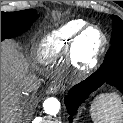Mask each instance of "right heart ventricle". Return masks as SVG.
<instances>
[{
	"instance_id": "right-heart-ventricle-1",
	"label": "right heart ventricle",
	"mask_w": 123,
	"mask_h": 123,
	"mask_svg": "<svg viewBox=\"0 0 123 123\" xmlns=\"http://www.w3.org/2000/svg\"><path fill=\"white\" fill-rule=\"evenodd\" d=\"M79 21L70 22L47 34L39 44L38 57L41 61L49 63L66 52L68 57L74 59V43L82 30L77 31Z\"/></svg>"
}]
</instances>
